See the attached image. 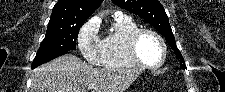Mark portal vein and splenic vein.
Segmentation results:
<instances>
[{
    "label": "portal vein and splenic vein",
    "mask_w": 225,
    "mask_h": 92,
    "mask_svg": "<svg viewBox=\"0 0 225 92\" xmlns=\"http://www.w3.org/2000/svg\"><path fill=\"white\" fill-rule=\"evenodd\" d=\"M94 87H95L94 84L89 85V89H93Z\"/></svg>",
    "instance_id": "18ae733b"
}]
</instances>
